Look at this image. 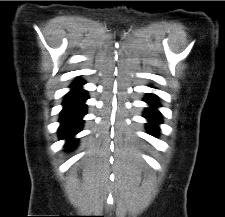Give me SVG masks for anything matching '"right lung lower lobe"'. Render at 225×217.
<instances>
[{"label": "right lung lower lobe", "mask_w": 225, "mask_h": 217, "mask_svg": "<svg viewBox=\"0 0 225 217\" xmlns=\"http://www.w3.org/2000/svg\"><path fill=\"white\" fill-rule=\"evenodd\" d=\"M83 81H75L71 87L72 90L66 95L63 101V110L60 115L59 136L61 139H69L66 143L67 149H72L77 140L71 139L80 132L83 126L82 117L86 114L85 101L88 96L85 90L81 88Z\"/></svg>", "instance_id": "1"}]
</instances>
